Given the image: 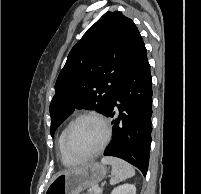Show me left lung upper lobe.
<instances>
[{"mask_svg": "<svg viewBox=\"0 0 201 194\" xmlns=\"http://www.w3.org/2000/svg\"><path fill=\"white\" fill-rule=\"evenodd\" d=\"M134 22L121 12H106L70 51L50 104L51 127L78 109L105 114L116 90L143 45Z\"/></svg>", "mask_w": 201, "mask_h": 194, "instance_id": "5c2ea615", "label": "left lung upper lobe"}]
</instances>
